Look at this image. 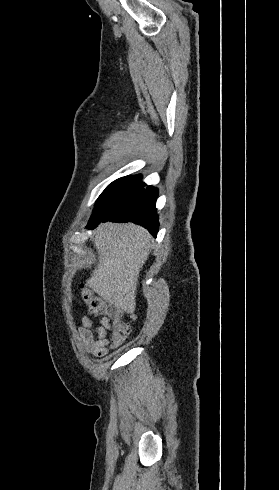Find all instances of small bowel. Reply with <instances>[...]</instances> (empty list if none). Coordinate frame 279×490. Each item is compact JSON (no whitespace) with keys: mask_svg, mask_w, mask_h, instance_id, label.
I'll list each match as a JSON object with an SVG mask.
<instances>
[{"mask_svg":"<svg viewBox=\"0 0 279 490\" xmlns=\"http://www.w3.org/2000/svg\"><path fill=\"white\" fill-rule=\"evenodd\" d=\"M111 330L112 326L107 318L103 317L98 323H94L90 317L84 316L78 327L79 340L88 353L103 357L108 354Z\"/></svg>","mask_w":279,"mask_h":490,"instance_id":"1","label":"small bowel"}]
</instances>
